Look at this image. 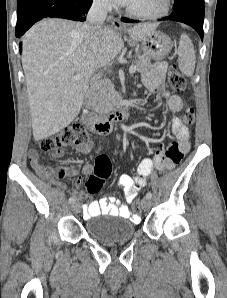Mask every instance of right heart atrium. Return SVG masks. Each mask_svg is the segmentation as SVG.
I'll use <instances>...</instances> for the list:
<instances>
[{"instance_id":"right-heart-atrium-1","label":"right heart atrium","mask_w":227,"mask_h":298,"mask_svg":"<svg viewBox=\"0 0 227 298\" xmlns=\"http://www.w3.org/2000/svg\"><path fill=\"white\" fill-rule=\"evenodd\" d=\"M111 0H94L96 6L101 9H108L110 7Z\"/></svg>"}]
</instances>
